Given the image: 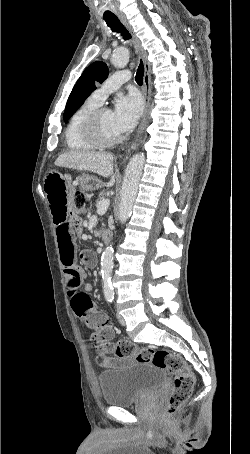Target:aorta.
Masks as SVG:
<instances>
[{"label":"aorta","instance_id":"obj_1","mask_svg":"<svg viewBox=\"0 0 250 454\" xmlns=\"http://www.w3.org/2000/svg\"><path fill=\"white\" fill-rule=\"evenodd\" d=\"M129 61V50L119 47L112 55V63L117 68H124ZM145 163L143 153L135 154L129 161L121 188V202L119 206V220L123 224L132 214L133 205L137 196L138 186ZM114 249L107 247L101 257V274L103 281V293L106 299L114 298V290L111 284Z\"/></svg>","mask_w":250,"mask_h":454}]
</instances>
